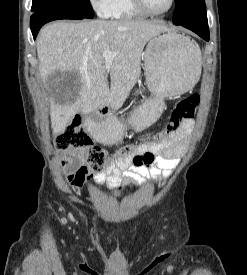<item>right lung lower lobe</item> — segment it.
Instances as JSON below:
<instances>
[{"label":"right lung lower lobe","instance_id":"right-lung-lower-lobe-1","mask_svg":"<svg viewBox=\"0 0 247 275\" xmlns=\"http://www.w3.org/2000/svg\"><path fill=\"white\" fill-rule=\"evenodd\" d=\"M86 17L77 16L60 11H45L34 13L30 19V28L33 34L34 39L36 38L39 29L46 24L47 22L59 19H85Z\"/></svg>","mask_w":247,"mask_h":275}]
</instances>
